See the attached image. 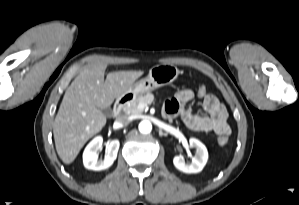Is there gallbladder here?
<instances>
[{
    "label": "gallbladder",
    "instance_id": "gallbladder-1",
    "mask_svg": "<svg viewBox=\"0 0 299 205\" xmlns=\"http://www.w3.org/2000/svg\"><path fill=\"white\" fill-rule=\"evenodd\" d=\"M101 112L106 116H110L112 114V110L109 107L101 109Z\"/></svg>",
    "mask_w": 299,
    "mask_h": 205
}]
</instances>
